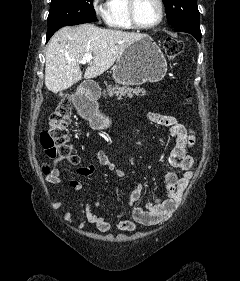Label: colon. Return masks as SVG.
Segmentation results:
<instances>
[{
    "label": "colon",
    "mask_w": 240,
    "mask_h": 281,
    "mask_svg": "<svg viewBox=\"0 0 240 281\" xmlns=\"http://www.w3.org/2000/svg\"><path fill=\"white\" fill-rule=\"evenodd\" d=\"M182 43L174 38L166 39L164 51L169 59L177 58L182 52ZM191 102V97L188 96ZM72 115V104L68 98L62 99L50 117V127L40 135V142L44 153L49 158L60 157L72 165L80 163L79 156L75 153L68 135V125ZM45 174L51 171L48 164L43 165Z\"/></svg>",
    "instance_id": "colon-1"
}]
</instances>
